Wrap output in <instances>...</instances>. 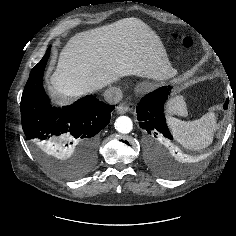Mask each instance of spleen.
Here are the masks:
<instances>
[{
	"mask_svg": "<svg viewBox=\"0 0 236 236\" xmlns=\"http://www.w3.org/2000/svg\"><path fill=\"white\" fill-rule=\"evenodd\" d=\"M167 123L176 141L190 150H200L209 146L216 130L213 112L189 122L168 116Z\"/></svg>",
	"mask_w": 236,
	"mask_h": 236,
	"instance_id": "3e777b00",
	"label": "spleen"
}]
</instances>
